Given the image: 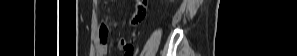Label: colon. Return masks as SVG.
<instances>
[{
  "label": "colon",
  "instance_id": "colon-1",
  "mask_svg": "<svg viewBox=\"0 0 297 56\" xmlns=\"http://www.w3.org/2000/svg\"><path fill=\"white\" fill-rule=\"evenodd\" d=\"M146 11H147V1L146 0H138L137 5H136L135 21L136 22L141 21L145 17ZM107 33H108V29L105 25H103L100 30V38L102 40H106Z\"/></svg>",
  "mask_w": 297,
  "mask_h": 56
}]
</instances>
